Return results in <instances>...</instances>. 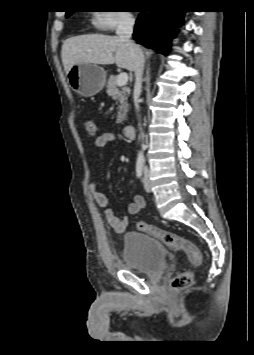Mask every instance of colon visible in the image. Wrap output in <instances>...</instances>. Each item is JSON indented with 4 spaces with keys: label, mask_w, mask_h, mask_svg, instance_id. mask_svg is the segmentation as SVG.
Wrapping results in <instances>:
<instances>
[{
    "label": "colon",
    "mask_w": 254,
    "mask_h": 355,
    "mask_svg": "<svg viewBox=\"0 0 254 355\" xmlns=\"http://www.w3.org/2000/svg\"><path fill=\"white\" fill-rule=\"evenodd\" d=\"M84 128L89 135H95L97 133V124L92 119L85 120ZM137 228L139 231L158 239L171 250L184 251L193 265L198 266L202 263L200 250L188 239L145 222H138ZM192 282L193 273L186 271L174 276L171 286L175 291H182L189 288Z\"/></svg>",
    "instance_id": "obj_1"
}]
</instances>
